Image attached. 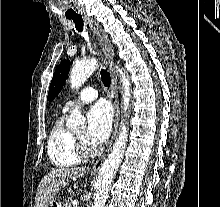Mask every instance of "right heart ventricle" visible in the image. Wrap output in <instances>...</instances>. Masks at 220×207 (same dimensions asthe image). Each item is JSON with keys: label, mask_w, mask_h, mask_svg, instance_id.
<instances>
[{"label": "right heart ventricle", "mask_w": 220, "mask_h": 207, "mask_svg": "<svg viewBox=\"0 0 220 207\" xmlns=\"http://www.w3.org/2000/svg\"><path fill=\"white\" fill-rule=\"evenodd\" d=\"M47 153L51 163L60 168L72 167L81 159L73 146V134L64 126V115L54 123L47 142Z\"/></svg>", "instance_id": "1"}]
</instances>
